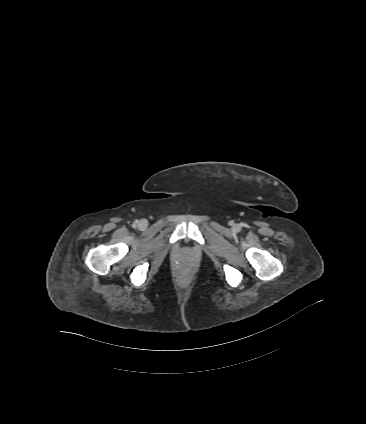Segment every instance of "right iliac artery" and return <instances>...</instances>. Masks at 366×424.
Wrapping results in <instances>:
<instances>
[{"mask_svg":"<svg viewBox=\"0 0 366 424\" xmlns=\"http://www.w3.org/2000/svg\"><path fill=\"white\" fill-rule=\"evenodd\" d=\"M135 224H137V221L134 222L133 226H135Z\"/></svg>","mask_w":366,"mask_h":424,"instance_id":"82829eb1","label":"right iliac artery"}]
</instances>
